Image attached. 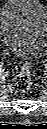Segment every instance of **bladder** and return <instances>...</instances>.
Returning <instances> with one entry per match:
<instances>
[{
  "mask_svg": "<svg viewBox=\"0 0 47 129\" xmlns=\"http://www.w3.org/2000/svg\"><path fill=\"white\" fill-rule=\"evenodd\" d=\"M0 27L5 47L17 56H36L46 46L47 11L39 0H6Z\"/></svg>",
  "mask_w": 47,
  "mask_h": 129,
  "instance_id": "1",
  "label": "bladder"
}]
</instances>
